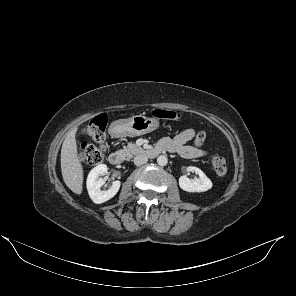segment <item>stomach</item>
<instances>
[{
  "label": "stomach",
  "mask_w": 296,
  "mask_h": 296,
  "mask_svg": "<svg viewBox=\"0 0 296 296\" xmlns=\"http://www.w3.org/2000/svg\"><path fill=\"white\" fill-rule=\"evenodd\" d=\"M112 127L120 137H134L156 130L159 127V120L143 115H136L128 119H119L113 122Z\"/></svg>",
  "instance_id": "1"
}]
</instances>
